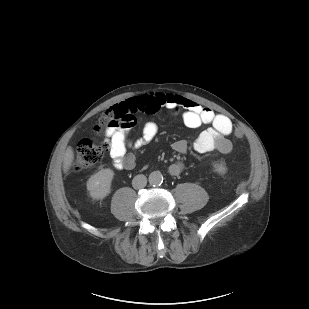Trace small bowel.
I'll use <instances>...</instances> for the list:
<instances>
[{
    "label": "small bowel",
    "instance_id": "obj_1",
    "mask_svg": "<svg viewBox=\"0 0 309 309\" xmlns=\"http://www.w3.org/2000/svg\"><path fill=\"white\" fill-rule=\"evenodd\" d=\"M119 112L138 113L145 112L155 114L162 108L184 109L183 121L186 126L196 128L201 124H209L210 128L203 131L194 143L195 151L207 153L217 151L222 154H228L232 150V144L228 136L232 133L233 125L228 117L222 114H216L208 107L186 99L179 95L168 93L145 94L128 99L126 102L116 106ZM129 127H110L107 129V140L109 154L113 166L118 169H131L135 165V158L127 153V148L131 145L128 139ZM158 134V125L155 122H147L139 138L132 146L141 148L150 143ZM173 148L178 153L187 152L188 144L186 140L179 139L173 143ZM183 171V164L175 162L168 168L171 176H178Z\"/></svg>",
    "mask_w": 309,
    "mask_h": 309
}]
</instances>
